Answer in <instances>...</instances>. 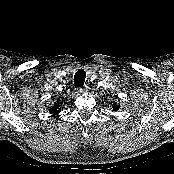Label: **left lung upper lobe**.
<instances>
[{
	"instance_id": "1",
	"label": "left lung upper lobe",
	"mask_w": 174,
	"mask_h": 174,
	"mask_svg": "<svg viewBox=\"0 0 174 174\" xmlns=\"http://www.w3.org/2000/svg\"><path fill=\"white\" fill-rule=\"evenodd\" d=\"M119 107H120L119 105H114V104H113V110H114V111H117V110L119 109Z\"/></svg>"
}]
</instances>
